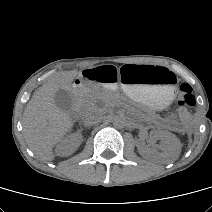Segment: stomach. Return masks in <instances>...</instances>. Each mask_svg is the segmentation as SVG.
<instances>
[{
  "mask_svg": "<svg viewBox=\"0 0 212 212\" xmlns=\"http://www.w3.org/2000/svg\"><path fill=\"white\" fill-rule=\"evenodd\" d=\"M82 74L86 81L107 85L153 110L162 109L174 96L175 76L165 67L100 64L86 67Z\"/></svg>",
  "mask_w": 212,
  "mask_h": 212,
  "instance_id": "stomach-1",
  "label": "stomach"
}]
</instances>
